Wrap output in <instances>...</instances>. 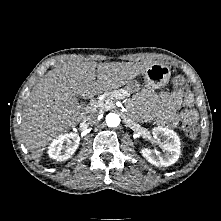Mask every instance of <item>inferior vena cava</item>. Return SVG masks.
<instances>
[{"label": "inferior vena cava", "mask_w": 221, "mask_h": 221, "mask_svg": "<svg viewBox=\"0 0 221 221\" xmlns=\"http://www.w3.org/2000/svg\"><path fill=\"white\" fill-rule=\"evenodd\" d=\"M97 121V114H90L86 117L85 122L87 124H94Z\"/></svg>", "instance_id": "obj_1"}]
</instances>
